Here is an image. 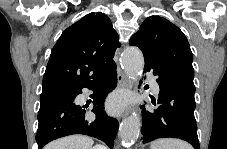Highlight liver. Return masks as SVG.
<instances>
[{
  "mask_svg": "<svg viewBox=\"0 0 227 149\" xmlns=\"http://www.w3.org/2000/svg\"><path fill=\"white\" fill-rule=\"evenodd\" d=\"M93 143L90 137L70 135L49 143L45 149H92Z\"/></svg>",
  "mask_w": 227,
  "mask_h": 149,
  "instance_id": "1",
  "label": "liver"
}]
</instances>
